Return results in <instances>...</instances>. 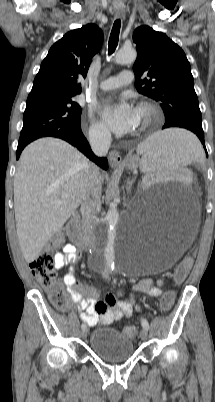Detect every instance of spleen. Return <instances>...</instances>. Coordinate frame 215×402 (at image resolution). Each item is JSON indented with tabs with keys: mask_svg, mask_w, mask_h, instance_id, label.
<instances>
[{
	"mask_svg": "<svg viewBox=\"0 0 215 402\" xmlns=\"http://www.w3.org/2000/svg\"><path fill=\"white\" fill-rule=\"evenodd\" d=\"M137 151L144 153L140 169H184L192 160L203 159L199 139L191 128H168L149 137L139 145Z\"/></svg>",
	"mask_w": 215,
	"mask_h": 402,
	"instance_id": "obj_1",
	"label": "spleen"
}]
</instances>
